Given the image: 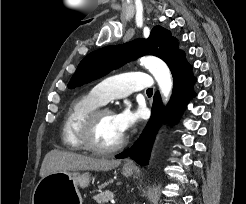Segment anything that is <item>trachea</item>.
<instances>
[{
  "mask_svg": "<svg viewBox=\"0 0 246 204\" xmlns=\"http://www.w3.org/2000/svg\"><path fill=\"white\" fill-rule=\"evenodd\" d=\"M146 93L147 94H152L153 93V89L152 88L147 89Z\"/></svg>",
  "mask_w": 246,
  "mask_h": 204,
  "instance_id": "1",
  "label": "trachea"
}]
</instances>
